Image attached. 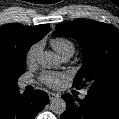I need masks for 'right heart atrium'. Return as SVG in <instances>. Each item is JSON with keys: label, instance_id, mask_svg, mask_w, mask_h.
<instances>
[{"label": "right heart atrium", "instance_id": "1", "mask_svg": "<svg viewBox=\"0 0 119 119\" xmlns=\"http://www.w3.org/2000/svg\"><path fill=\"white\" fill-rule=\"evenodd\" d=\"M41 50V45L39 43L33 44L26 53V62L28 64H33L36 62Z\"/></svg>", "mask_w": 119, "mask_h": 119}]
</instances>
